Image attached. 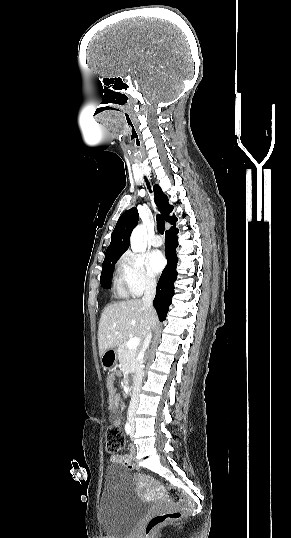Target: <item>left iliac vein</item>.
Returning <instances> with one entry per match:
<instances>
[{
	"label": "left iliac vein",
	"mask_w": 291,
	"mask_h": 538,
	"mask_svg": "<svg viewBox=\"0 0 291 538\" xmlns=\"http://www.w3.org/2000/svg\"><path fill=\"white\" fill-rule=\"evenodd\" d=\"M133 434H134V425H132V432H131V438H133Z\"/></svg>",
	"instance_id": "left-iliac-vein-1"
}]
</instances>
